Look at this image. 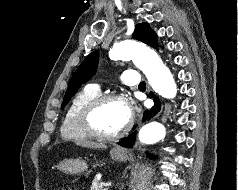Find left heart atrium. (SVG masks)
<instances>
[{
	"instance_id": "1",
	"label": "left heart atrium",
	"mask_w": 238,
	"mask_h": 190,
	"mask_svg": "<svg viewBox=\"0 0 238 190\" xmlns=\"http://www.w3.org/2000/svg\"><path fill=\"white\" fill-rule=\"evenodd\" d=\"M125 108H126L127 114H128L129 117H130L131 114H132V110H133V109H132V105L125 102Z\"/></svg>"
}]
</instances>
